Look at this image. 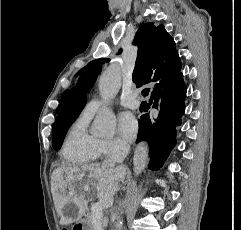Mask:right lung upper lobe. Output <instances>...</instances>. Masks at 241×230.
<instances>
[{
	"label": "right lung upper lobe",
	"instance_id": "right-lung-upper-lobe-1",
	"mask_svg": "<svg viewBox=\"0 0 241 230\" xmlns=\"http://www.w3.org/2000/svg\"><path fill=\"white\" fill-rule=\"evenodd\" d=\"M134 44L139 46L132 76L137 87L146 84L155 86L181 67L175 42L163 25L155 27L153 23L142 24L135 35ZM108 61L109 59L94 60L80 70L79 74L87 68ZM66 93L67 91L63 93V97ZM59 108L60 105L57 110Z\"/></svg>",
	"mask_w": 241,
	"mask_h": 230
}]
</instances>
